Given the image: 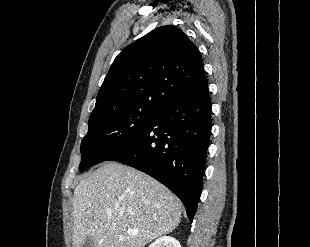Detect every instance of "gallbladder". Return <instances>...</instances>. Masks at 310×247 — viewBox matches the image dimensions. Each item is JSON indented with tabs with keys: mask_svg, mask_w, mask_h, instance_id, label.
<instances>
[{
	"mask_svg": "<svg viewBox=\"0 0 310 247\" xmlns=\"http://www.w3.org/2000/svg\"><path fill=\"white\" fill-rule=\"evenodd\" d=\"M81 247H93V239H92L90 236H88V237L84 240V242H83V244L81 245Z\"/></svg>",
	"mask_w": 310,
	"mask_h": 247,
	"instance_id": "1",
	"label": "gallbladder"
}]
</instances>
